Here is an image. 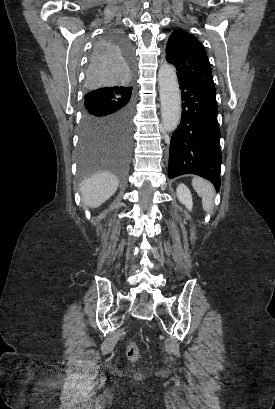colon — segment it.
<instances>
[{
  "instance_id": "5ec220e1",
  "label": "colon",
  "mask_w": 275,
  "mask_h": 409,
  "mask_svg": "<svg viewBox=\"0 0 275 409\" xmlns=\"http://www.w3.org/2000/svg\"><path fill=\"white\" fill-rule=\"evenodd\" d=\"M126 355L127 358L132 361H135L139 358V348L134 342H130L128 344Z\"/></svg>"
}]
</instances>
